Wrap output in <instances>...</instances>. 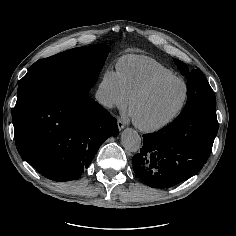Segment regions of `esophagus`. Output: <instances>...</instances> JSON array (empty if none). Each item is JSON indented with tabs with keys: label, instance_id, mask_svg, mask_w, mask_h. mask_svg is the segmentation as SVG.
<instances>
[{
	"label": "esophagus",
	"instance_id": "obj_1",
	"mask_svg": "<svg viewBox=\"0 0 236 236\" xmlns=\"http://www.w3.org/2000/svg\"><path fill=\"white\" fill-rule=\"evenodd\" d=\"M117 125H118L119 130H122L125 127V121L121 118H118Z\"/></svg>",
	"mask_w": 236,
	"mask_h": 236
}]
</instances>
